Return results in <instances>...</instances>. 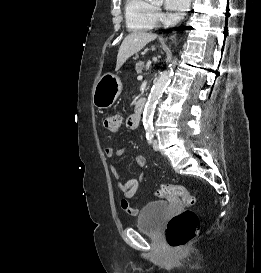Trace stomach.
Wrapping results in <instances>:
<instances>
[{
  "mask_svg": "<svg viewBox=\"0 0 261 273\" xmlns=\"http://www.w3.org/2000/svg\"><path fill=\"white\" fill-rule=\"evenodd\" d=\"M122 91L120 78L113 73H105L93 88V104L99 109L111 107Z\"/></svg>",
  "mask_w": 261,
  "mask_h": 273,
  "instance_id": "stomach-1",
  "label": "stomach"
}]
</instances>
